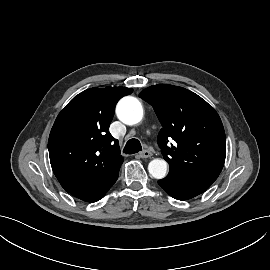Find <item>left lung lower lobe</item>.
Returning a JSON list of instances; mask_svg holds the SVG:
<instances>
[{
  "instance_id": "0a47b994",
  "label": "left lung lower lobe",
  "mask_w": 270,
  "mask_h": 270,
  "mask_svg": "<svg viewBox=\"0 0 270 270\" xmlns=\"http://www.w3.org/2000/svg\"><path fill=\"white\" fill-rule=\"evenodd\" d=\"M213 181L198 175H167L158 184L173 198L187 200L203 193Z\"/></svg>"
}]
</instances>
